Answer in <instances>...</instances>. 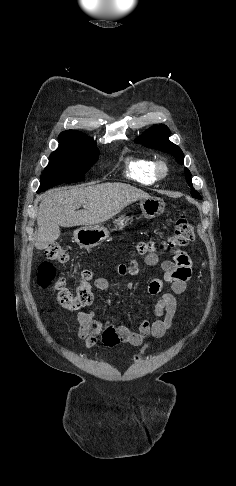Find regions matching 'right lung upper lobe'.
Returning a JSON list of instances; mask_svg holds the SVG:
<instances>
[{"label":"right lung upper lobe","instance_id":"obj_1","mask_svg":"<svg viewBox=\"0 0 236 486\" xmlns=\"http://www.w3.org/2000/svg\"><path fill=\"white\" fill-rule=\"evenodd\" d=\"M59 140L76 141L86 144H94L93 139L76 130H67L59 135Z\"/></svg>","mask_w":236,"mask_h":486}]
</instances>
